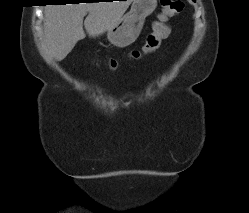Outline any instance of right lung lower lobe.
Returning <instances> with one entry per match:
<instances>
[{"mask_svg": "<svg viewBox=\"0 0 249 213\" xmlns=\"http://www.w3.org/2000/svg\"><path fill=\"white\" fill-rule=\"evenodd\" d=\"M67 0H51L50 2L65 3ZM126 1V0H125Z\"/></svg>", "mask_w": 249, "mask_h": 213, "instance_id": "1", "label": "right lung lower lobe"}]
</instances>
